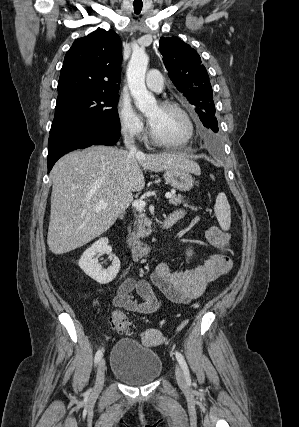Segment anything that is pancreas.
Returning a JSON list of instances; mask_svg holds the SVG:
<instances>
[{
	"instance_id": "1",
	"label": "pancreas",
	"mask_w": 299,
	"mask_h": 427,
	"mask_svg": "<svg viewBox=\"0 0 299 427\" xmlns=\"http://www.w3.org/2000/svg\"><path fill=\"white\" fill-rule=\"evenodd\" d=\"M184 202V198L181 195H176L174 193L171 194V197L169 198V203L173 205H178ZM185 207H189L194 211H197V208L194 206H190L186 203H184ZM151 222L146 217V214L143 211L139 212V215L136 217V220L134 222V230L131 232L129 230L130 239L132 241H137L140 238L148 237L151 234Z\"/></svg>"
}]
</instances>
